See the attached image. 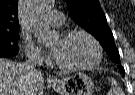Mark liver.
I'll return each mask as SVG.
<instances>
[{"instance_id":"liver-1","label":"liver","mask_w":135,"mask_h":95,"mask_svg":"<svg viewBox=\"0 0 135 95\" xmlns=\"http://www.w3.org/2000/svg\"><path fill=\"white\" fill-rule=\"evenodd\" d=\"M41 72L30 74L24 64L0 58V95H43Z\"/></svg>"}]
</instances>
